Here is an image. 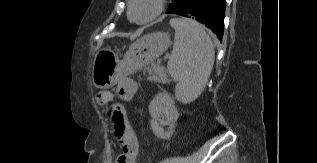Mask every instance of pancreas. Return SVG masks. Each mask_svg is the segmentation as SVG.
Masks as SVG:
<instances>
[{"mask_svg":"<svg viewBox=\"0 0 317 163\" xmlns=\"http://www.w3.org/2000/svg\"><path fill=\"white\" fill-rule=\"evenodd\" d=\"M146 70L148 71L150 80L156 82H165L167 80L165 68L163 66L152 63Z\"/></svg>","mask_w":317,"mask_h":163,"instance_id":"1","label":"pancreas"}]
</instances>
